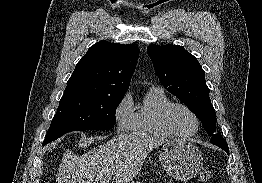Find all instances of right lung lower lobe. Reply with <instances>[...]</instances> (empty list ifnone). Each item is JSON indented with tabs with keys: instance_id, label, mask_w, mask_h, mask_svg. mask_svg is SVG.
Instances as JSON below:
<instances>
[{
	"instance_id": "98d812e1",
	"label": "right lung lower lobe",
	"mask_w": 262,
	"mask_h": 183,
	"mask_svg": "<svg viewBox=\"0 0 262 183\" xmlns=\"http://www.w3.org/2000/svg\"><path fill=\"white\" fill-rule=\"evenodd\" d=\"M47 144L46 142H43V145Z\"/></svg>"
}]
</instances>
